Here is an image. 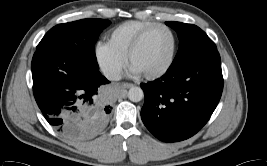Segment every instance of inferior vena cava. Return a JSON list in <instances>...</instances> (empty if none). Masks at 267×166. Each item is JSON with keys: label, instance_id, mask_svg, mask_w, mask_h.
<instances>
[{"label": "inferior vena cava", "instance_id": "obj_1", "mask_svg": "<svg viewBox=\"0 0 267 166\" xmlns=\"http://www.w3.org/2000/svg\"><path fill=\"white\" fill-rule=\"evenodd\" d=\"M105 76L109 80H119L121 78L120 73L115 69H108L105 71Z\"/></svg>", "mask_w": 267, "mask_h": 166}]
</instances>
